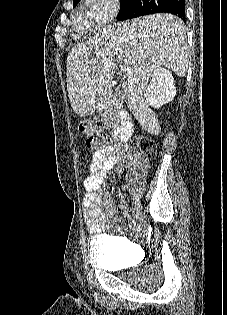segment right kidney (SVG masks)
Instances as JSON below:
<instances>
[{
	"label": "right kidney",
	"instance_id": "right-kidney-1",
	"mask_svg": "<svg viewBox=\"0 0 227 315\" xmlns=\"http://www.w3.org/2000/svg\"><path fill=\"white\" fill-rule=\"evenodd\" d=\"M176 95L174 78L169 70L159 68L152 74L150 85L146 89L145 102L155 108L173 100Z\"/></svg>",
	"mask_w": 227,
	"mask_h": 315
}]
</instances>
